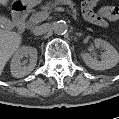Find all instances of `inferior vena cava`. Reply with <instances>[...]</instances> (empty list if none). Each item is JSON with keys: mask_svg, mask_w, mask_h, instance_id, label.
<instances>
[{"mask_svg": "<svg viewBox=\"0 0 119 119\" xmlns=\"http://www.w3.org/2000/svg\"><path fill=\"white\" fill-rule=\"evenodd\" d=\"M50 29V24L49 23H44L42 25L36 26L33 30V34L36 36L45 34L46 32H48Z\"/></svg>", "mask_w": 119, "mask_h": 119, "instance_id": "inferior-vena-cava-1", "label": "inferior vena cava"}]
</instances>
